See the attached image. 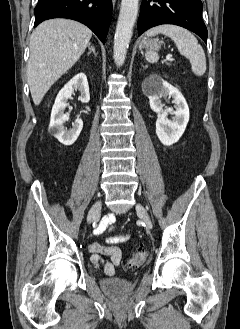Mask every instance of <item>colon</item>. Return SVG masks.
Wrapping results in <instances>:
<instances>
[{"label":"colon","instance_id":"1","mask_svg":"<svg viewBox=\"0 0 240 329\" xmlns=\"http://www.w3.org/2000/svg\"><path fill=\"white\" fill-rule=\"evenodd\" d=\"M147 254L144 251H139L134 254L128 261L127 267L129 269H135L141 266L146 260Z\"/></svg>","mask_w":240,"mask_h":329}]
</instances>
